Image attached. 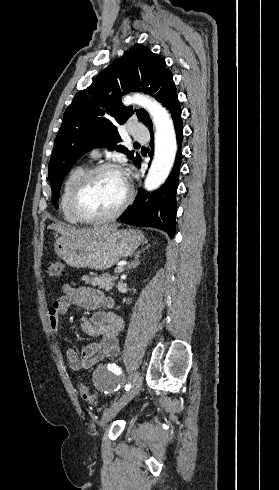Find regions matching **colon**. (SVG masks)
Instances as JSON below:
<instances>
[{
  "label": "colon",
  "mask_w": 279,
  "mask_h": 490,
  "mask_svg": "<svg viewBox=\"0 0 279 490\" xmlns=\"http://www.w3.org/2000/svg\"><path fill=\"white\" fill-rule=\"evenodd\" d=\"M46 273L51 277L61 278L64 275V264L59 260L49 262L46 266ZM78 391L83 401L88 404L96 403V396L90 387L80 383Z\"/></svg>",
  "instance_id": "1"
}]
</instances>
